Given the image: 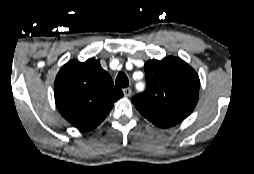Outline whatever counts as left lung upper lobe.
<instances>
[{
    "label": "left lung upper lobe",
    "instance_id": "left-lung-upper-lobe-1",
    "mask_svg": "<svg viewBox=\"0 0 254 174\" xmlns=\"http://www.w3.org/2000/svg\"><path fill=\"white\" fill-rule=\"evenodd\" d=\"M146 90L132 103L150 121L180 123L194 110L200 80L182 59L169 56L145 63Z\"/></svg>",
    "mask_w": 254,
    "mask_h": 174
}]
</instances>
